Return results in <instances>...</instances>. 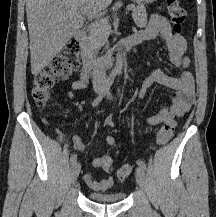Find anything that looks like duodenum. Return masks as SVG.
Masks as SVG:
<instances>
[{
    "instance_id": "410a0bca",
    "label": "duodenum",
    "mask_w": 216,
    "mask_h": 217,
    "mask_svg": "<svg viewBox=\"0 0 216 217\" xmlns=\"http://www.w3.org/2000/svg\"><path fill=\"white\" fill-rule=\"evenodd\" d=\"M75 37L84 50L82 56L83 65L80 71L82 75H89L94 70L110 66L122 53L130 50L133 46L142 41L139 35L126 37L106 52L102 58H98L97 55L91 51L87 43V34L84 29L78 30Z\"/></svg>"
}]
</instances>
